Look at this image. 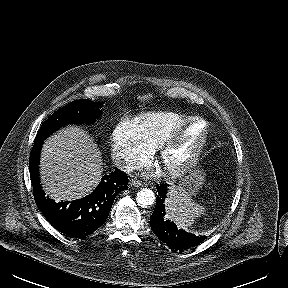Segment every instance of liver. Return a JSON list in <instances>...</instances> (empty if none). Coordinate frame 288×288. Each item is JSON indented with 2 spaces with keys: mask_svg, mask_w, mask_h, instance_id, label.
Masks as SVG:
<instances>
[{
  "mask_svg": "<svg viewBox=\"0 0 288 288\" xmlns=\"http://www.w3.org/2000/svg\"><path fill=\"white\" fill-rule=\"evenodd\" d=\"M101 152L92 138L74 126L59 130L42 148L43 189L55 201H71L89 194L100 182Z\"/></svg>",
  "mask_w": 288,
  "mask_h": 288,
  "instance_id": "liver-1",
  "label": "liver"
}]
</instances>
